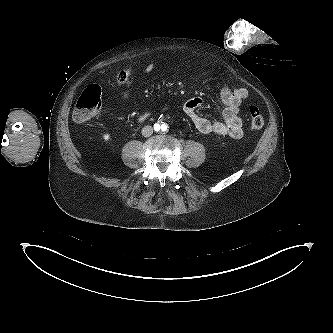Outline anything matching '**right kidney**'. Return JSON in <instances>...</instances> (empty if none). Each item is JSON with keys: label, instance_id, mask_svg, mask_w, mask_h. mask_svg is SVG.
I'll use <instances>...</instances> for the list:
<instances>
[{"label": "right kidney", "instance_id": "1", "mask_svg": "<svg viewBox=\"0 0 333 333\" xmlns=\"http://www.w3.org/2000/svg\"><path fill=\"white\" fill-rule=\"evenodd\" d=\"M103 139H104L105 141H108V140L110 139V135H109V134H104V135H103Z\"/></svg>", "mask_w": 333, "mask_h": 333}]
</instances>
